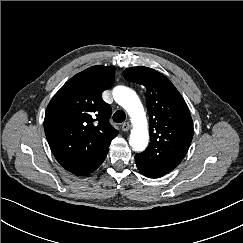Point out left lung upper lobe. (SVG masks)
I'll use <instances>...</instances> for the list:
<instances>
[{
	"label": "left lung upper lobe",
	"instance_id": "1",
	"mask_svg": "<svg viewBox=\"0 0 243 243\" xmlns=\"http://www.w3.org/2000/svg\"><path fill=\"white\" fill-rule=\"evenodd\" d=\"M123 75L128 82L147 89L150 143L136 154V165L139 170L164 176L180 164L190 147L194 130L188 106L175 86L154 69L131 67Z\"/></svg>",
	"mask_w": 243,
	"mask_h": 243
}]
</instances>
